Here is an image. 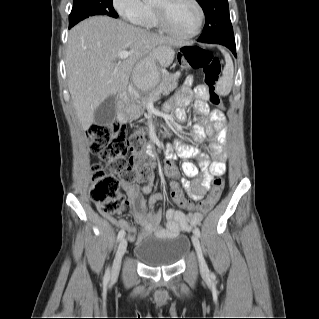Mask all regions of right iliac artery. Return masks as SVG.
<instances>
[{"mask_svg": "<svg viewBox=\"0 0 319 319\" xmlns=\"http://www.w3.org/2000/svg\"><path fill=\"white\" fill-rule=\"evenodd\" d=\"M124 236H125V231L120 230L117 236V240L120 241ZM109 279H110V269L108 267L104 275V282L107 283Z\"/></svg>", "mask_w": 319, "mask_h": 319, "instance_id": "82829eb1", "label": "right iliac artery"}]
</instances>
